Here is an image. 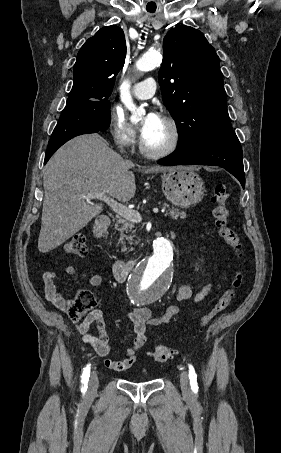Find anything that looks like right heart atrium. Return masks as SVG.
Returning a JSON list of instances; mask_svg holds the SVG:
<instances>
[{"instance_id":"obj_1","label":"right heart atrium","mask_w":281,"mask_h":453,"mask_svg":"<svg viewBox=\"0 0 281 453\" xmlns=\"http://www.w3.org/2000/svg\"><path fill=\"white\" fill-rule=\"evenodd\" d=\"M107 127L113 135L115 142L123 147H132L137 140V130L124 116L123 113L110 112L106 118ZM109 169L119 175H127L126 166L117 155L111 156Z\"/></svg>"}]
</instances>
